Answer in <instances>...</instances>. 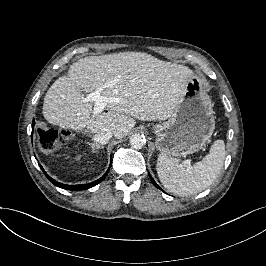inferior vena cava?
<instances>
[{
    "label": "inferior vena cava",
    "mask_w": 266,
    "mask_h": 266,
    "mask_svg": "<svg viewBox=\"0 0 266 266\" xmlns=\"http://www.w3.org/2000/svg\"><path fill=\"white\" fill-rule=\"evenodd\" d=\"M113 134L109 130H97L93 131V140L99 144H106Z\"/></svg>",
    "instance_id": "602c4592"
}]
</instances>
